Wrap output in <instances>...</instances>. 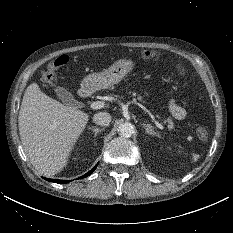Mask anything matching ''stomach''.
<instances>
[{"instance_id":"1","label":"stomach","mask_w":233,"mask_h":233,"mask_svg":"<svg viewBox=\"0 0 233 233\" xmlns=\"http://www.w3.org/2000/svg\"><path fill=\"white\" fill-rule=\"evenodd\" d=\"M134 68L130 59H119L103 72L86 76L82 81V89L86 91L106 89L119 83Z\"/></svg>"}]
</instances>
